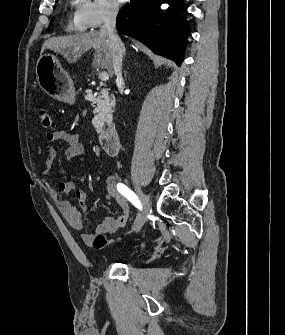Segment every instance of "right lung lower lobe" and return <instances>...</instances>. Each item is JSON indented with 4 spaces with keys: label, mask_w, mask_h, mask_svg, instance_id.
I'll list each match as a JSON object with an SVG mask.
<instances>
[{
    "label": "right lung lower lobe",
    "mask_w": 285,
    "mask_h": 335,
    "mask_svg": "<svg viewBox=\"0 0 285 335\" xmlns=\"http://www.w3.org/2000/svg\"><path fill=\"white\" fill-rule=\"evenodd\" d=\"M164 1L168 0H131L120 10L116 26L121 33L141 41L153 52L172 59L180 66L189 25L185 19L177 20L173 15L165 18L158 16V7ZM170 1L171 9L177 0ZM161 18L163 24L157 26Z\"/></svg>",
    "instance_id": "98d812e1"
}]
</instances>
